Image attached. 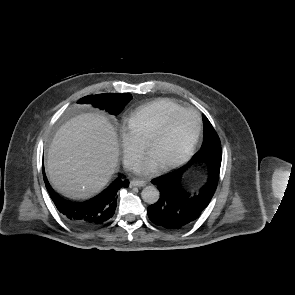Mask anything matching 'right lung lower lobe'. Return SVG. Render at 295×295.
Here are the masks:
<instances>
[{"mask_svg":"<svg viewBox=\"0 0 295 295\" xmlns=\"http://www.w3.org/2000/svg\"><path fill=\"white\" fill-rule=\"evenodd\" d=\"M44 181L51 199L64 218L80 229H90L105 223L114 215L116 194L121 188L129 186V181L119 176L103 192L84 202H72L56 194L49 185L45 172Z\"/></svg>","mask_w":295,"mask_h":295,"instance_id":"98d812e1","label":"right lung lower lobe"}]
</instances>
